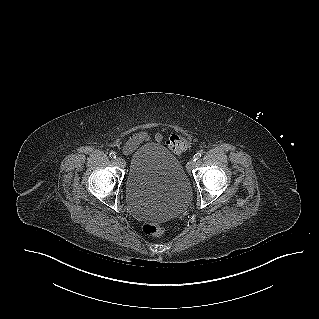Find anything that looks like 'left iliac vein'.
Here are the masks:
<instances>
[{"mask_svg": "<svg viewBox=\"0 0 319 319\" xmlns=\"http://www.w3.org/2000/svg\"><path fill=\"white\" fill-rule=\"evenodd\" d=\"M196 161L194 159H191L188 161L186 165L187 172L190 173L193 167L195 166Z\"/></svg>", "mask_w": 319, "mask_h": 319, "instance_id": "4c4485c4", "label": "left iliac vein"}]
</instances>
